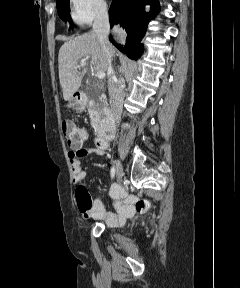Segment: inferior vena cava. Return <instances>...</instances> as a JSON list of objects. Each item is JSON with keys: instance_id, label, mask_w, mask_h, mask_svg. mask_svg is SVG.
Segmentation results:
<instances>
[{"instance_id": "inferior-vena-cava-1", "label": "inferior vena cava", "mask_w": 240, "mask_h": 288, "mask_svg": "<svg viewBox=\"0 0 240 288\" xmlns=\"http://www.w3.org/2000/svg\"><path fill=\"white\" fill-rule=\"evenodd\" d=\"M109 31H110V24H109L108 11L106 7H103L98 11L95 17L93 23V32L98 38L103 48V51L107 57V71L110 74L112 95L110 100L111 105L110 115L106 120V126L112 127L115 124V121L118 120L122 114L124 93L122 87L116 83L114 78V72L111 64L112 56L110 53L113 46L108 40Z\"/></svg>"}]
</instances>
